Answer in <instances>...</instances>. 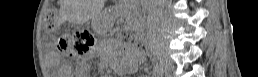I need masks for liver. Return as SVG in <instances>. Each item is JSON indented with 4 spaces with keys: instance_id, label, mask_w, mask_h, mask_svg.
Returning a JSON list of instances; mask_svg holds the SVG:
<instances>
[{
    "instance_id": "obj_1",
    "label": "liver",
    "mask_w": 258,
    "mask_h": 77,
    "mask_svg": "<svg viewBox=\"0 0 258 77\" xmlns=\"http://www.w3.org/2000/svg\"><path fill=\"white\" fill-rule=\"evenodd\" d=\"M103 6V0H61V13L76 23H82L98 16Z\"/></svg>"
}]
</instances>
